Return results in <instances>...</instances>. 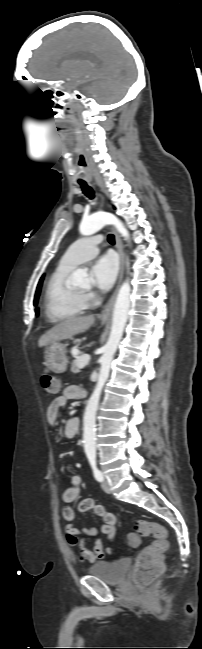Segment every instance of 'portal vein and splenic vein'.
Here are the masks:
<instances>
[{
  "instance_id": "portal-vein-and-splenic-vein-1",
  "label": "portal vein and splenic vein",
  "mask_w": 202,
  "mask_h": 649,
  "mask_svg": "<svg viewBox=\"0 0 202 649\" xmlns=\"http://www.w3.org/2000/svg\"><path fill=\"white\" fill-rule=\"evenodd\" d=\"M90 361V356L89 355H83L79 357L78 359V366L79 368H84L86 365H88Z\"/></svg>"
}]
</instances>
